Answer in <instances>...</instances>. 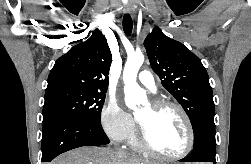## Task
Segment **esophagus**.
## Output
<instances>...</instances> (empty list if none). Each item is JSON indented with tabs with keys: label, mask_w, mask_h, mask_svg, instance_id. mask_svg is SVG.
<instances>
[{
	"label": "esophagus",
	"mask_w": 251,
	"mask_h": 164,
	"mask_svg": "<svg viewBox=\"0 0 251 164\" xmlns=\"http://www.w3.org/2000/svg\"><path fill=\"white\" fill-rule=\"evenodd\" d=\"M124 12H125L126 14L131 13V12H132L131 6H130V5H126V6L124 7Z\"/></svg>",
	"instance_id": "1"
}]
</instances>
